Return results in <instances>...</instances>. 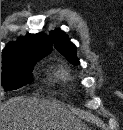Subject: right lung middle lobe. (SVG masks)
I'll list each match as a JSON object with an SVG mask.
<instances>
[{"label":"right lung middle lobe","mask_w":123,"mask_h":130,"mask_svg":"<svg viewBox=\"0 0 123 130\" xmlns=\"http://www.w3.org/2000/svg\"><path fill=\"white\" fill-rule=\"evenodd\" d=\"M44 56L28 55L3 61L1 83L5 87V90H15L28 84L31 80V72L35 63Z\"/></svg>","instance_id":"right-lung-middle-lobe-1"}]
</instances>
